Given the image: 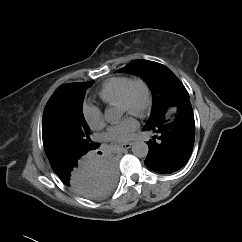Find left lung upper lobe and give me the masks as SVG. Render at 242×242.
Returning a JSON list of instances; mask_svg holds the SVG:
<instances>
[{
	"instance_id": "obj_1",
	"label": "left lung upper lobe",
	"mask_w": 242,
	"mask_h": 242,
	"mask_svg": "<svg viewBox=\"0 0 242 242\" xmlns=\"http://www.w3.org/2000/svg\"><path fill=\"white\" fill-rule=\"evenodd\" d=\"M117 72L139 75L152 90L153 104L146 125L156 121L171 107L189 99V94L177 76L166 66L148 60H134Z\"/></svg>"
}]
</instances>
